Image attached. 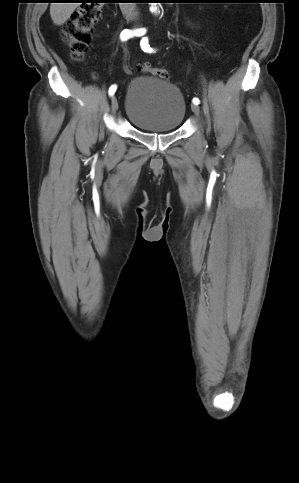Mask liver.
<instances>
[{
	"mask_svg": "<svg viewBox=\"0 0 299 483\" xmlns=\"http://www.w3.org/2000/svg\"><path fill=\"white\" fill-rule=\"evenodd\" d=\"M79 3H51L50 16L55 25H63L77 8Z\"/></svg>",
	"mask_w": 299,
	"mask_h": 483,
	"instance_id": "obj_1",
	"label": "liver"
}]
</instances>
